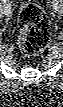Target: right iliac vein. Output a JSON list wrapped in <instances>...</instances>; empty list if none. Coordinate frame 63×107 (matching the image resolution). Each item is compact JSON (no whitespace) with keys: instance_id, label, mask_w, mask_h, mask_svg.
<instances>
[{"instance_id":"obj_1","label":"right iliac vein","mask_w":63,"mask_h":107,"mask_svg":"<svg viewBox=\"0 0 63 107\" xmlns=\"http://www.w3.org/2000/svg\"><path fill=\"white\" fill-rule=\"evenodd\" d=\"M0 12H1V15H6L8 18L11 17V12H7L5 7H2Z\"/></svg>"}]
</instances>
